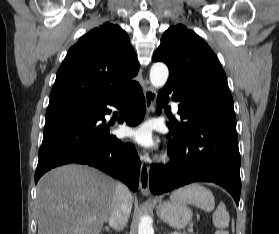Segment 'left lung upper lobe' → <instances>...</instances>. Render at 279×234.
I'll return each instance as SVG.
<instances>
[{
    "instance_id": "left-lung-upper-lobe-1",
    "label": "left lung upper lobe",
    "mask_w": 279,
    "mask_h": 234,
    "mask_svg": "<svg viewBox=\"0 0 279 234\" xmlns=\"http://www.w3.org/2000/svg\"><path fill=\"white\" fill-rule=\"evenodd\" d=\"M169 68V79L201 95L233 102L224 70L207 43L178 24L166 30L152 58Z\"/></svg>"
}]
</instances>
